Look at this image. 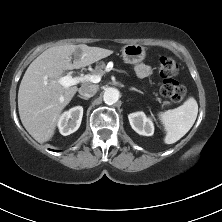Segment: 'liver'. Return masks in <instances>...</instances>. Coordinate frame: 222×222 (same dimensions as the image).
I'll return each mask as SVG.
<instances>
[{
    "mask_svg": "<svg viewBox=\"0 0 222 222\" xmlns=\"http://www.w3.org/2000/svg\"><path fill=\"white\" fill-rule=\"evenodd\" d=\"M112 53L85 44L55 46L29 65L19 86L18 110L23 126L36 141L44 143L53 137L61 112L78 91L77 86L65 88L59 83L64 71L86 67Z\"/></svg>",
    "mask_w": 222,
    "mask_h": 222,
    "instance_id": "6515ba94",
    "label": "liver"
}]
</instances>
